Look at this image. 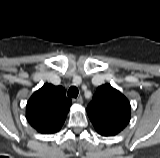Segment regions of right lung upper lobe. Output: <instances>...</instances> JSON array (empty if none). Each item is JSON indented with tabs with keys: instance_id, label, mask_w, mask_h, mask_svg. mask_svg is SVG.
Returning <instances> with one entry per match:
<instances>
[{
	"instance_id": "obj_1",
	"label": "right lung upper lobe",
	"mask_w": 160,
	"mask_h": 158,
	"mask_svg": "<svg viewBox=\"0 0 160 158\" xmlns=\"http://www.w3.org/2000/svg\"><path fill=\"white\" fill-rule=\"evenodd\" d=\"M71 99L62 86L44 84L33 93L26 105V118L42 134L58 132L69 112Z\"/></svg>"
}]
</instances>
